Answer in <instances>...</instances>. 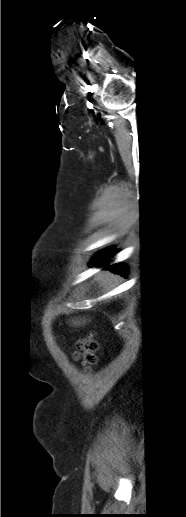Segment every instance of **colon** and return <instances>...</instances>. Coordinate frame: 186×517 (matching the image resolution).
<instances>
[{
	"label": "colon",
	"mask_w": 186,
	"mask_h": 517,
	"mask_svg": "<svg viewBox=\"0 0 186 517\" xmlns=\"http://www.w3.org/2000/svg\"><path fill=\"white\" fill-rule=\"evenodd\" d=\"M98 343L93 334L81 338L77 343V351L74 354L75 360L81 362L85 367H92L96 363V351Z\"/></svg>",
	"instance_id": "5ec220e1"
}]
</instances>
